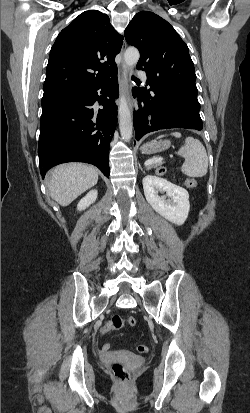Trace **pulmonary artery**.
<instances>
[{
  "label": "pulmonary artery",
  "instance_id": "e3ab8cb5",
  "mask_svg": "<svg viewBox=\"0 0 250 413\" xmlns=\"http://www.w3.org/2000/svg\"><path fill=\"white\" fill-rule=\"evenodd\" d=\"M140 77H141V79H143V80H146V74L144 73V72H140Z\"/></svg>",
  "mask_w": 250,
  "mask_h": 413
}]
</instances>
